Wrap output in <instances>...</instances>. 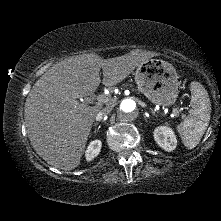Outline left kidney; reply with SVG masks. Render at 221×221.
I'll use <instances>...</instances> for the list:
<instances>
[{
	"instance_id": "obj_1",
	"label": "left kidney",
	"mask_w": 221,
	"mask_h": 221,
	"mask_svg": "<svg viewBox=\"0 0 221 221\" xmlns=\"http://www.w3.org/2000/svg\"><path fill=\"white\" fill-rule=\"evenodd\" d=\"M154 139L165 151L171 152L177 146V138L174 131L168 126H160L154 130Z\"/></svg>"
}]
</instances>
